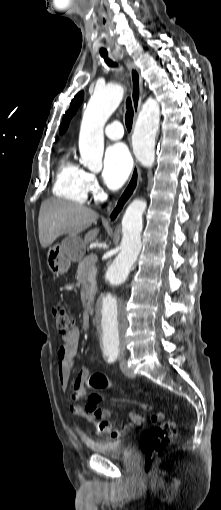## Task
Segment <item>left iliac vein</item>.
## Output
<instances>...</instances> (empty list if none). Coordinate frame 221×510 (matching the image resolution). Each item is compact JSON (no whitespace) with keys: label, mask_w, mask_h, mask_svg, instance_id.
Masks as SVG:
<instances>
[{"label":"left iliac vein","mask_w":221,"mask_h":510,"mask_svg":"<svg viewBox=\"0 0 221 510\" xmlns=\"http://www.w3.org/2000/svg\"><path fill=\"white\" fill-rule=\"evenodd\" d=\"M120 368L122 370V372L127 376V377H130V378H134L135 377V374L133 373V371L128 367L127 365V362L125 359L121 358L120 359Z\"/></svg>","instance_id":"obj_1"}]
</instances>
